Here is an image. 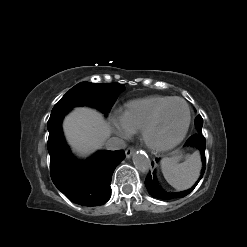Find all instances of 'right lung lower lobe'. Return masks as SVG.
<instances>
[{
	"mask_svg": "<svg viewBox=\"0 0 247 247\" xmlns=\"http://www.w3.org/2000/svg\"><path fill=\"white\" fill-rule=\"evenodd\" d=\"M68 111L51 113L47 123L52 181L76 204L88 207L103 205L110 199L112 174L125 158V153L122 150L99 151L86 161L74 158L61 129V121Z\"/></svg>",
	"mask_w": 247,
	"mask_h": 247,
	"instance_id": "obj_1",
	"label": "right lung lower lobe"
}]
</instances>
